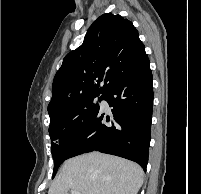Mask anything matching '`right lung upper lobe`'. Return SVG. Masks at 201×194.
I'll use <instances>...</instances> for the list:
<instances>
[{
    "instance_id": "cb5924a9",
    "label": "right lung upper lobe",
    "mask_w": 201,
    "mask_h": 194,
    "mask_svg": "<svg viewBox=\"0 0 201 194\" xmlns=\"http://www.w3.org/2000/svg\"><path fill=\"white\" fill-rule=\"evenodd\" d=\"M146 56L131 21L111 13L101 15L88 29L83 44L65 56L55 75L50 118L85 98L105 94Z\"/></svg>"
}]
</instances>
